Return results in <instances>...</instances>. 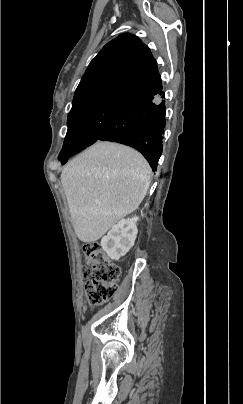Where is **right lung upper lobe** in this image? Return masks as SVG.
I'll list each match as a JSON object with an SVG mask.
<instances>
[{
	"instance_id": "cb5924a9",
	"label": "right lung upper lobe",
	"mask_w": 243,
	"mask_h": 404,
	"mask_svg": "<svg viewBox=\"0 0 243 404\" xmlns=\"http://www.w3.org/2000/svg\"><path fill=\"white\" fill-rule=\"evenodd\" d=\"M160 90L161 78L150 49L137 36L124 33L93 58L75 91L71 110L102 100L127 102Z\"/></svg>"
}]
</instances>
